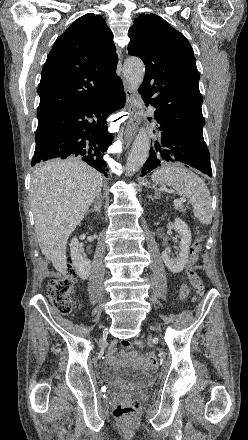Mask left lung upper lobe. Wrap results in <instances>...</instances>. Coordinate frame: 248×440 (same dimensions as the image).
Returning a JSON list of instances; mask_svg holds the SVG:
<instances>
[{"label":"left lung upper lobe","instance_id":"left-lung-upper-lobe-1","mask_svg":"<svg viewBox=\"0 0 248 440\" xmlns=\"http://www.w3.org/2000/svg\"><path fill=\"white\" fill-rule=\"evenodd\" d=\"M128 35L130 55L146 66L139 93L155 113L203 135V97L193 49L184 35L155 14H141Z\"/></svg>","mask_w":248,"mask_h":440}]
</instances>
